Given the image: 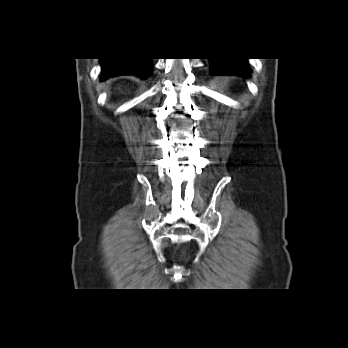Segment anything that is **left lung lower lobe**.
I'll return each instance as SVG.
<instances>
[{"instance_id": "1", "label": "left lung lower lobe", "mask_w": 348, "mask_h": 348, "mask_svg": "<svg viewBox=\"0 0 348 348\" xmlns=\"http://www.w3.org/2000/svg\"><path fill=\"white\" fill-rule=\"evenodd\" d=\"M212 63V75H243L248 77L250 69L246 58H210Z\"/></svg>"}]
</instances>
